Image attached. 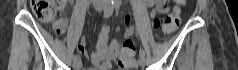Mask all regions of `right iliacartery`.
<instances>
[{"instance_id":"right-iliac-artery-1","label":"right iliac artery","mask_w":238,"mask_h":70,"mask_svg":"<svg viewBox=\"0 0 238 70\" xmlns=\"http://www.w3.org/2000/svg\"><path fill=\"white\" fill-rule=\"evenodd\" d=\"M113 9H114V1L109 0L104 9V18H109L113 13ZM78 58L79 57L77 55L73 56V60H77Z\"/></svg>"}]
</instances>
